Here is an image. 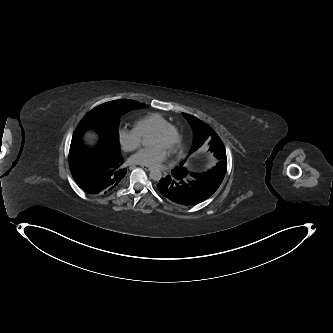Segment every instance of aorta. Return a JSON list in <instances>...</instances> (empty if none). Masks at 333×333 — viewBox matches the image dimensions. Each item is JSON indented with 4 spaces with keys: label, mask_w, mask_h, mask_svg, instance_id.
I'll return each mask as SVG.
<instances>
[{
    "label": "aorta",
    "mask_w": 333,
    "mask_h": 333,
    "mask_svg": "<svg viewBox=\"0 0 333 333\" xmlns=\"http://www.w3.org/2000/svg\"><path fill=\"white\" fill-rule=\"evenodd\" d=\"M151 143H152V140L149 139V138H145V139L143 140V144H144L145 146H148V145H150ZM150 178H151L152 180H154V181H159V180L162 178V173H161V171H159V170H157V169L151 170V171H150Z\"/></svg>",
    "instance_id": "obj_1"
}]
</instances>
